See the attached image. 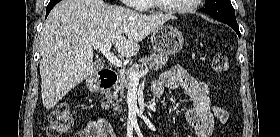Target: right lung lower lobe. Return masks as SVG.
<instances>
[{
	"label": "right lung lower lobe",
	"instance_id": "1",
	"mask_svg": "<svg viewBox=\"0 0 280 137\" xmlns=\"http://www.w3.org/2000/svg\"><path fill=\"white\" fill-rule=\"evenodd\" d=\"M60 0H50L48 6H47V10H46V17L48 16L49 12L51 11V9L59 2Z\"/></svg>",
	"mask_w": 280,
	"mask_h": 137
}]
</instances>
